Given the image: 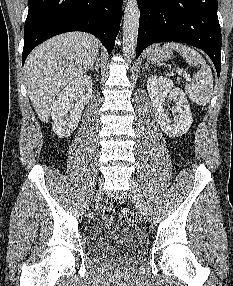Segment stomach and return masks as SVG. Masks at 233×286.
I'll return each mask as SVG.
<instances>
[{"instance_id":"1","label":"stomach","mask_w":233,"mask_h":286,"mask_svg":"<svg viewBox=\"0 0 233 286\" xmlns=\"http://www.w3.org/2000/svg\"><path fill=\"white\" fill-rule=\"evenodd\" d=\"M172 56L171 50L164 46L155 45L147 52V61L149 63H159L167 61Z\"/></svg>"}]
</instances>
